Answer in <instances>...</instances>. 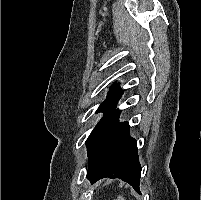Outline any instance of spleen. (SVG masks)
<instances>
[{"label":"spleen","mask_w":201,"mask_h":200,"mask_svg":"<svg viewBox=\"0 0 201 200\" xmlns=\"http://www.w3.org/2000/svg\"><path fill=\"white\" fill-rule=\"evenodd\" d=\"M116 200H125L123 196L119 195Z\"/></svg>","instance_id":"spleen-1"}]
</instances>
